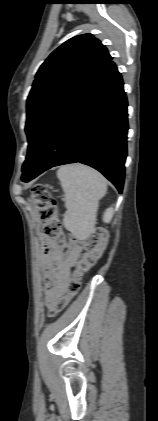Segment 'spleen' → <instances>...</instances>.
Instances as JSON below:
<instances>
[{"mask_svg":"<svg viewBox=\"0 0 158 421\" xmlns=\"http://www.w3.org/2000/svg\"><path fill=\"white\" fill-rule=\"evenodd\" d=\"M57 177L65 193L63 225L76 238L85 239L95 225L99 200L107 190L106 179L79 163L62 166Z\"/></svg>","mask_w":158,"mask_h":421,"instance_id":"1","label":"spleen"}]
</instances>
